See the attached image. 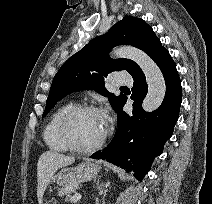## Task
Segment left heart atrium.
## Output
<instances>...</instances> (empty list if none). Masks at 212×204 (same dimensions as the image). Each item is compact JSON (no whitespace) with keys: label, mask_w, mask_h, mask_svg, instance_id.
Masks as SVG:
<instances>
[{"label":"left heart atrium","mask_w":212,"mask_h":204,"mask_svg":"<svg viewBox=\"0 0 212 204\" xmlns=\"http://www.w3.org/2000/svg\"><path fill=\"white\" fill-rule=\"evenodd\" d=\"M104 115V117H105V119L107 118V116L105 115V114H103Z\"/></svg>","instance_id":"39dd6f15"}]
</instances>
